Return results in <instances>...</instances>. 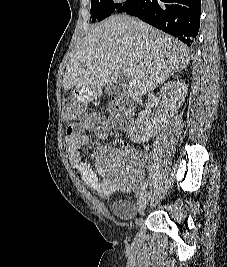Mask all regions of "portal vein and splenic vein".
I'll use <instances>...</instances> for the list:
<instances>
[{"label":"portal vein and splenic vein","instance_id":"portal-vein-and-splenic-vein-1","mask_svg":"<svg viewBox=\"0 0 227 267\" xmlns=\"http://www.w3.org/2000/svg\"><path fill=\"white\" fill-rule=\"evenodd\" d=\"M122 72H123L124 76H126L128 78L132 77L134 75V71L131 68H128V67H124L122 69Z\"/></svg>","mask_w":227,"mask_h":267}]
</instances>
